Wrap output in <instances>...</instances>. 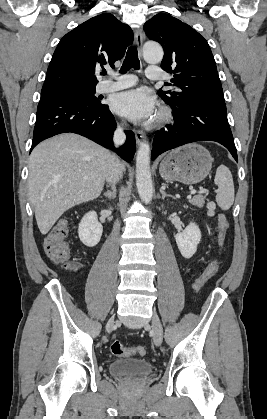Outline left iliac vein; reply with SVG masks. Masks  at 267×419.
<instances>
[{
	"label": "left iliac vein",
	"mask_w": 267,
	"mask_h": 419,
	"mask_svg": "<svg viewBox=\"0 0 267 419\" xmlns=\"http://www.w3.org/2000/svg\"><path fill=\"white\" fill-rule=\"evenodd\" d=\"M153 341L156 346H160L163 338V329L158 315L154 312L152 316Z\"/></svg>",
	"instance_id": "4c4485c4"
}]
</instances>
